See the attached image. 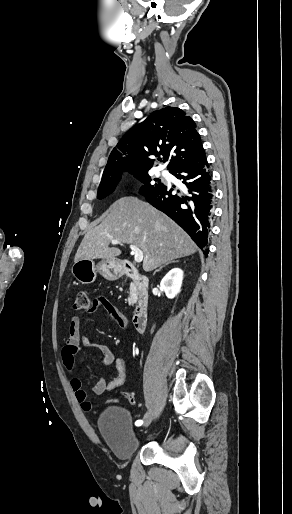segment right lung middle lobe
I'll list each match as a JSON object with an SVG mask.
<instances>
[{
    "instance_id": "dd1d6c3e",
    "label": "right lung middle lobe",
    "mask_w": 292,
    "mask_h": 514,
    "mask_svg": "<svg viewBox=\"0 0 292 514\" xmlns=\"http://www.w3.org/2000/svg\"><path fill=\"white\" fill-rule=\"evenodd\" d=\"M134 177L144 184L140 190L141 195H145L150 191H153L163 185L162 183H160V181H158V183H152V178L149 176L148 172L136 174L134 175ZM120 179L121 177L102 180L98 189L97 198L103 199L106 196L110 195L115 190V187L117 183L120 181ZM155 181L157 180L155 179Z\"/></svg>"
}]
</instances>
